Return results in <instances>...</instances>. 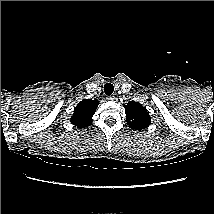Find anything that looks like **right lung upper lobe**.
<instances>
[{"label": "right lung upper lobe", "instance_id": "1", "mask_svg": "<svg viewBox=\"0 0 214 214\" xmlns=\"http://www.w3.org/2000/svg\"><path fill=\"white\" fill-rule=\"evenodd\" d=\"M99 101L84 99L75 107L71 123L78 128H86L92 124V117L95 114Z\"/></svg>", "mask_w": 214, "mask_h": 214}]
</instances>
